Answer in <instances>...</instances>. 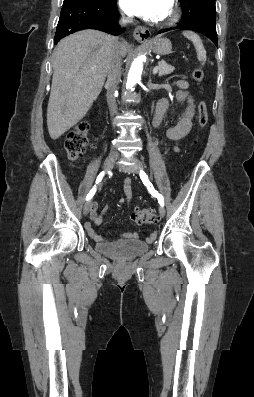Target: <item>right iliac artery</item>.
Wrapping results in <instances>:
<instances>
[{
    "mask_svg": "<svg viewBox=\"0 0 254 397\" xmlns=\"http://www.w3.org/2000/svg\"><path fill=\"white\" fill-rule=\"evenodd\" d=\"M104 176H105V172L102 171V172L98 175V177H97V179H96V184H99V183L101 182V180L103 179ZM95 192H96V185H95V186L92 188V190L88 193V195H87V197H86V200H87V201L90 200V199L94 196Z\"/></svg>",
    "mask_w": 254,
    "mask_h": 397,
    "instance_id": "obj_1",
    "label": "right iliac artery"
}]
</instances>
